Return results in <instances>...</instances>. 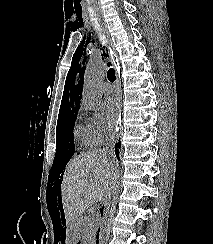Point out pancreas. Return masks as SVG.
<instances>
[{"label":"pancreas","mask_w":213,"mask_h":244,"mask_svg":"<svg viewBox=\"0 0 213 244\" xmlns=\"http://www.w3.org/2000/svg\"><path fill=\"white\" fill-rule=\"evenodd\" d=\"M79 229V228H78ZM95 232V228L92 229V232H90L91 234H94Z\"/></svg>","instance_id":"1"}]
</instances>
